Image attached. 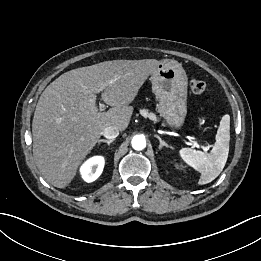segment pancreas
<instances>
[{
	"label": "pancreas",
	"instance_id": "obj_1",
	"mask_svg": "<svg viewBox=\"0 0 261 261\" xmlns=\"http://www.w3.org/2000/svg\"><path fill=\"white\" fill-rule=\"evenodd\" d=\"M140 113L144 116V117H147L153 121H157V117L155 114L153 113H149L146 109H143L140 111Z\"/></svg>",
	"mask_w": 261,
	"mask_h": 261
}]
</instances>
